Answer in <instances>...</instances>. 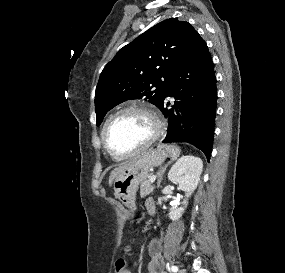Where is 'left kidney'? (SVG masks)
<instances>
[{"label":"left kidney","instance_id":"1","mask_svg":"<svg viewBox=\"0 0 285 273\" xmlns=\"http://www.w3.org/2000/svg\"><path fill=\"white\" fill-rule=\"evenodd\" d=\"M203 163L198 157L187 155L181 157L170 169L168 179L179 185V188L185 192L186 199L183 201V207H174L169 213L171 220H178L187 207V199L197 188L202 173ZM164 197L158 198V203L161 204Z\"/></svg>","mask_w":285,"mask_h":273}]
</instances>
